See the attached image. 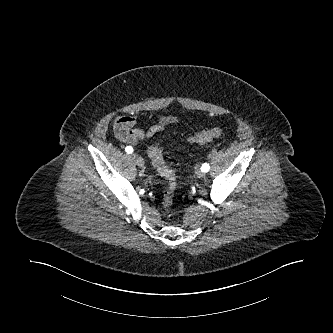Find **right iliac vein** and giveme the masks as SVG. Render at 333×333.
Here are the masks:
<instances>
[{
	"label": "right iliac vein",
	"instance_id": "obj_1",
	"mask_svg": "<svg viewBox=\"0 0 333 333\" xmlns=\"http://www.w3.org/2000/svg\"><path fill=\"white\" fill-rule=\"evenodd\" d=\"M132 158L134 159L136 165H138L139 167H142L144 165V160L141 156L134 153L132 154Z\"/></svg>",
	"mask_w": 333,
	"mask_h": 333
}]
</instances>
